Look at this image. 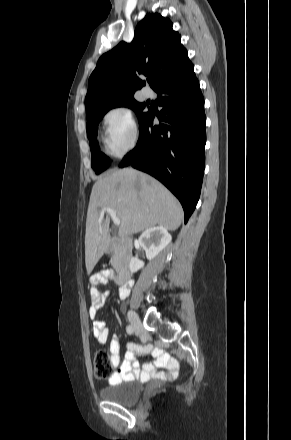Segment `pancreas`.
I'll return each mask as SVG.
<instances>
[{"instance_id":"obj_1","label":"pancreas","mask_w":291,"mask_h":440,"mask_svg":"<svg viewBox=\"0 0 291 440\" xmlns=\"http://www.w3.org/2000/svg\"><path fill=\"white\" fill-rule=\"evenodd\" d=\"M109 251L112 252L111 260H110L111 265L115 267L118 264V261H119V257H120V253H121V247L119 245H117V244H111L110 248H109Z\"/></svg>"}]
</instances>
